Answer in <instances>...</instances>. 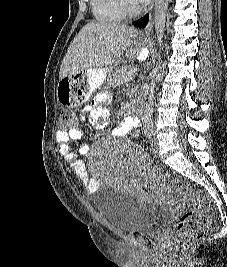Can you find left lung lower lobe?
I'll return each mask as SVG.
<instances>
[{
    "label": "left lung lower lobe",
    "mask_w": 227,
    "mask_h": 267,
    "mask_svg": "<svg viewBox=\"0 0 227 267\" xmlns=\"http://www.w3.org/2000/svg\"><path fill=\"white\" fill-rule=\"evenodd\" d=\"M148 18H149V15H145L144 18H141L139 19L138 21L134 22L133 24L137 27H140V28H144L146 27L147 23H148Z\"/></svg>",
    "instance_id": "obj_1"
}]
</instances>
